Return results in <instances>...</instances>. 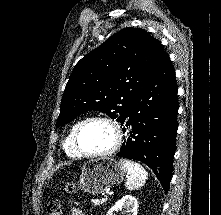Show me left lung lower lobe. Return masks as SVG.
Returning <instances> with one entry per match:
<instances>
[{
  "mask_svg": "<svg viewBox=\"0 0 221 215\" xmlns=\"http://www.w3.org/2000/svg\"><path fill=\"white\" fill-rule=\"evenodd\" d=\"M177 92L175 71L167 57L131 101L121 123L132 129L117 153L148 165L165 193L176 146Z\"/></svg>",
  "mask_w": 221,
  "mask_h": 215,
  "instance_id": "0a47b994",
  "label": "left lung lower lobe"
}]
</instances>
